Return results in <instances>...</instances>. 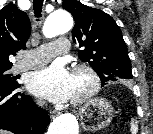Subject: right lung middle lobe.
I'll return each mask as SVG.
<instances>
[{"mask_svg":"<svg viewBox=\"0 0 153 134\" xmlns=\"http://www.w3.org/2000/svg\"><path fill=\"white\" fill-rule=\"evenodd\" d=\"M10 68L0 69V85L8 87H16L19 84L15 81V77H11V74H8Z\"/></svg>","mask_w":153,"mask_h":134,"instance_id":"1","label":"right lung middle lobe"}]
</instances>
